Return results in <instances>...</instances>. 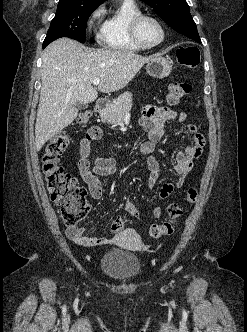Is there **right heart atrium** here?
Listing matches in <instances>:
<instances>
[{"instance_id":"d8ad5b80","label":"right heart atrium","mask_w":247,"mask_h":332,"mask_svg":"<svg viewBox=\"0 0 247 332\" xmlns=\"http://www.w3.org/2000/svg\"><path fill=\"white\" fill-rule=\"evenodd\" d=\"M105 13L104 7H98L93 11L91 14L89 20H88V26L90 29H92L95 33H97L99 29L100 21Z\"/></svg>"}]
</instances>
